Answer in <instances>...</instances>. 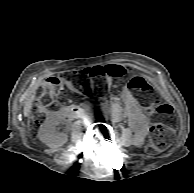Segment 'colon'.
<instances>
[{
    "label": "colon",
    "mask_w": 194,
    "mask_h": 193,
    "mask_svg": "<svg viewBox=\"0 0 194 193\" xmlns=\"http://www.w3.org/2000/svg\"><path fill=\"white\" fill-rule=\"evenodd\" d=\"M82 74L98 83H101L105 78L118 82L129 74V68L123 65L109 64L85 68ZM74 84L75 75L72 73L62 77H48L42 82L35 111L29 122V131L32 135L37 133L38 128L49 113L56 111L60 105L69 102L73 91L70 87H73ZM128 88L131 92L141 95L142 105L149 110L153 117L161 120L152 126V141L148 147V152L153 154L168 148L174 142L176 132L172 124L173 110L171 106L161 103L157 91L142 77L131 78L128 82Z\"/></svg>",
    "instance_id": "5ec220e1"
}]
</instances>
